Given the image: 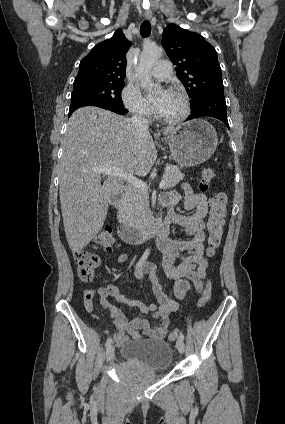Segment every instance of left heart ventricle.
<instances>
[{
  "label": "left heart ventricle",
  "mask_w": 285,
  "mask_h": 424,
  "mask_svg": "<svg viewBox=\"0 0 285 424\" xmlns=\"http://www.w3.org/2000/svg\"><path fill=\"white\" fill-rule=\"evenodd\" d=\"M160 96L156 97L155 102ZM184 110V102L181 97L176 94L170 93L167 100L164 102L162 107L157 111L163 118H176L182 114Z\"/></svg>",
  "instance_id": "left-heart-ventricle-1"
}]
</instances>
